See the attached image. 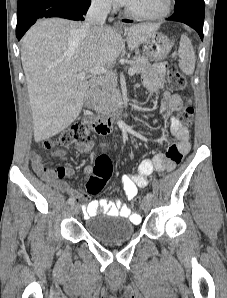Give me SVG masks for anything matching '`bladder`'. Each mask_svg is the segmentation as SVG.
I'll list each match as a JSON object with an SVG mask.
<instances>
[{
    "label": "bladder",
    "mask_w": 227,
    "mask_h": 298,
    "mask_svg": "<svg viewBox=\"0 0 227 298\" xmlns=\"http://www.w3.org/2000/svg\"><path fill=\"white\" fill-rule=\"evenodd\" d=\"M87 233L102 244H116L130 240L136 232V225L128 220L89 219L85 223Z\"/></svg>",
    "instance_id": "bladder-1"
}]
</instances>
